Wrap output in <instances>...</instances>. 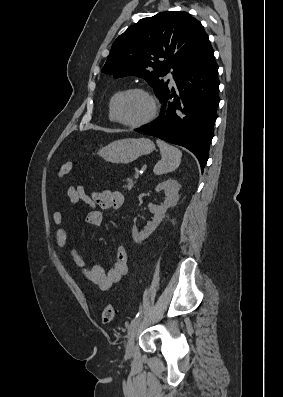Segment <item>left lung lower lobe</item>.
<instances>
[{
  "label": "left lung lower lobe",
  "mask_w": 283,
  "mask_h": 397,
  "mask_svg": "<svg viewBox=\"0 0 283 397\" xmlns=\"http://www.w3.org/2000/svg\"><path fill=\"white\" fill-rule=\"evenodd\" d=\"M175 82L178 92L168 89L161 97L163 106L158 119L135 131L187 148L203 171L220 101L218 65L212 46L185 65Z\"/></svg>",
  "instance_id": "obj_1"
}]
</instances>
